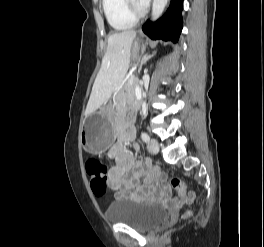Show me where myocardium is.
Here are the masks:
<instances>
[{"instance_id":"obj_1","label":"myocardium","mask_w":264,"mask_h":247,"mask_svg":"<svg viewBox=\"0 0 264 247\" xmlns=\"http://www.w3.org/2000/svg\"><path fill=\"white\" fill-rule=\"evenodd\" d=\"M127 9L132 17L135 19H141L146 16L147 9L144 7H138L135 3V0H126Z\"/></svg>"}]
</instances>
